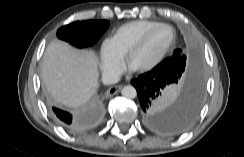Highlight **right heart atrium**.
Instances as JSON below:
<instances>
[{
  "label": "right heart atrium",
  "mask_w": 244,
  "mask_h": 157,
  "mask_svg": "<svg viewBox=\"0 0 244 157\" xmlns=\"http://www.w3.org/2000/svg\"><path fill=\"white\" fill-rule=\"evenodd\" d=\"M101 72L105 79L115 77L123 64V58L112 47L110 41L106 40L101 45Z\"/></svg>",
  "instance_id": "d8ad5b80"
}]
</instances>
